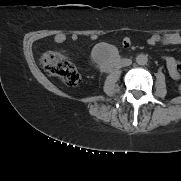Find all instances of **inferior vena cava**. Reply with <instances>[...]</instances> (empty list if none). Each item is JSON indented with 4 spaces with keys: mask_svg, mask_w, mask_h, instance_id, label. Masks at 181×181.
<instances>
[{
    "mask_svg": "<svg viewBox=\"0 0 181 181\" xmlns=\"http://www.w3.org/2000/svg\"><path fill=\"white\" fill-rule=\"evenodd\" d=\"M131 64H132V61H131L130 59H123V60L121 61V66H122V67L129 66V65H131Z\"/></svg>",
    "mask_w": 181,
    "mask_h": 181,
    "instance_id": "602c4592",
    "label": "inferior vena cava"
}]
</instances>
